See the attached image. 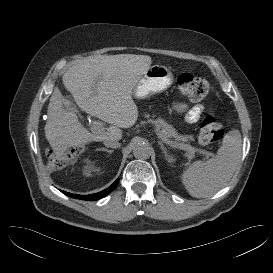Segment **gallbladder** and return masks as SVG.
Segmentation results:
<instances>
[{
    "label": "gallbladder",
    "instance_id": "1",
    "mask_svg": "<svg viewBox=\"0 0 273 273\" xmlns=\"http://www.w3.org/2000/svg\"><path fill=\"white\" fill-rule=\"evenodd\" d=\"M67 106L69 107V110L72 112V115L74 117H78L80 115L79 110L76 108V106L73 103V99L71 97H68L66 99Z\"/></svg>",
    "mask_w": 273,
    "mask_h": 273
}]
</instances>
